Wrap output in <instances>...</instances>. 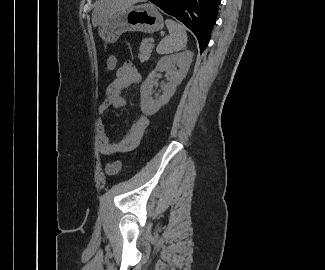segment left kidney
<instances>
[{"label":"left kidney","instance_id":"1","mask_svg":"<svg viewBox=\"0 0 325 270\" xmlns=\"http://www.w3.org/2000/svg\"><path fill=\"white\" fill-rule=\"evenodd\" d=\"M192 59L193 52L186 50L181 53L164 56L158 61L155 69L148 75L140 89L141 110L145 115L155 114L162 106L169 102L177 86L186 77ZM158 71L167 72L170 75V80L162 87L163 94L153 98V87Z\"/></svg>","mask_w":325,"mask_h":270}]
</instances>
